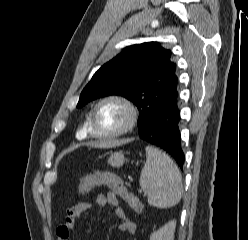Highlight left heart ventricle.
<instances>
[{
  "instance_id": "1",
  "label": "left heart ventricle",
  "mask_w": 248,
  "mask_h": 240,
  "mask_svg": "<svg viewBox=\"0 0 248 240\" xmlns=\"http://www.w3.org/2000/svg\"><path fill=\"white\" fill-rule=\"evenodd\" d=\"M126 121V111L118 104L108 103L98 109L95 128L99 133H112L120 129Z\"/></svg>"
}]
</instances>
